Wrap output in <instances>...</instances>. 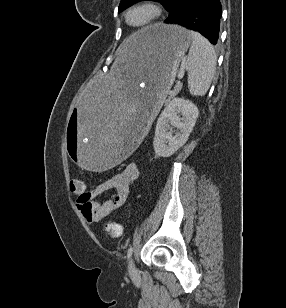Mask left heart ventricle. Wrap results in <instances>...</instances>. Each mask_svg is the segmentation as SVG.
<instances>
[{"label":"left heart ventricle","instance_id":"1","mask_svg":"<svg viewBox=\"0 0 286 308\" xmlns=\"http://www.w3.org/2000/svg\"><path fill=\"white\" fill-rule=\"evenodd\" d=\"M151 16V11L147 8H138L129 15V22L134 25H140L146 22Z\"/></svg>","mask_w":286,"mask_h":308}]
</instances>
